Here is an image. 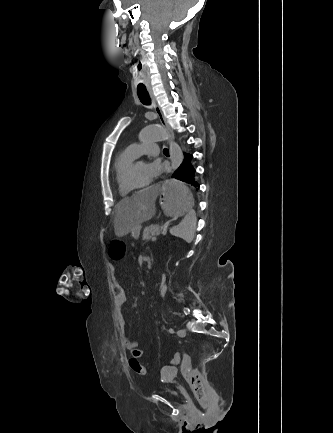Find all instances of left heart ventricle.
<instances>
[{
	"label": "left heart ventricle",
	"instance_id": "obj_1",
	"mask_svg": "<svg viewBox=\"0 0 333 433\" xmlns=\"http://www.w3.org/2000/svg\"><path fill=\"white\" fill-rule=\"evenodd\" d=\"M148 158L153 159L154 155L145 154ZM148 162L136 161L132 182L135 185H141L148 182Z\"/></svg>",
	"mask_w": 333,
	"mask_h": 433
}]
</instances>
